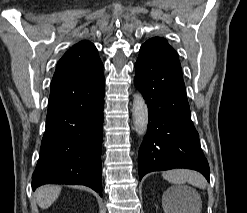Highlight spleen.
Returning a JSON list of instances; mask_svg holds the SVG:
<instances>
[{"instance_id":"3e777b00","label":"spleen","mask_w":247,"mask_h":213,"mask_svg":"<svg viewBox=\"0 0 247 213\" xmlns=\"http://www.w3.org/2000/svg\"><path fill=\"white\" fill-rule=\"evenodd\" d=\"M163 178L173 184L176 185H182L186 182L189 184L205 189L206 188V180L205 178L198 172L191 171V170H184V169H175V170H169L166 172H163L162 174ZM174 189H169L166 192V195L172 194ZM169 213L172 212L170 209H168Z\"/></svg>"}]
</instances>
